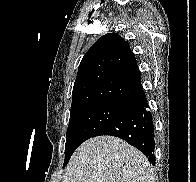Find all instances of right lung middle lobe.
<instances>
[{
  "label": "right lung middle lobe",
  "instance_id": "obj_1",
  "mask_svg": "<svg viewBox=\"0 0 196 182\" xmlns=\"http://www.w3.org/2000/svg\"><path fill=\"white\" fill-rule=\"evenodd\" d=\"M133 106L113 101H96L72 109L66 135L64 166L73 152L102 127L129 111Z\"/></svg>",
  "mask_w": 196,
  "mask_h": 182
}]
</instances>
